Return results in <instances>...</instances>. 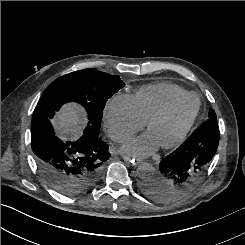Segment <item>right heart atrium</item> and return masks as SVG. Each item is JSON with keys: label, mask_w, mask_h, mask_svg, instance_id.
<instances>
[{"label": "right heart atrium", "mask_w": 245, "mask_h": 245, "mask_svg": "<svg viewBox=\"0 0 245 245\" xmlns=\"http://www.w3.org/2000/svg\"><path fill=\"white\" fill-rule=\"evenodd\" d=\"M106 130L115 142H124L144 126L132 96L115 94L110 97L103 110Z\"/></svg>", "instance_id": "1"}]
</instances>
